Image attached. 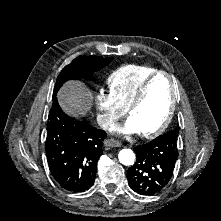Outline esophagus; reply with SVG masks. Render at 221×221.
I'll list each match as a JSON object with an SVG mask.
<instances>
[{
	"label": "esophagus",
	"instance_id": "1",
	"mask_svg": "<svg viewBox=\"0 0 221 221\" xmlns=\"http://www.w3.org/2000/svg\"><path fill=\"white\" fill-rule=\"evenodd\" d=\"M121 144L118 141H115L113 139H106L104 140V146L105 147H119Z\"/></svg>",
	"mask_w": 221,
	"mask_h": 221
}]
</instances>
